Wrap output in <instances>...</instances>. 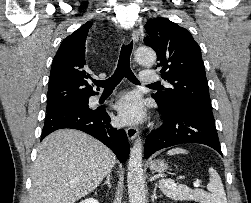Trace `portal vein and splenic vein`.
Here are the masks:
<instances>
[{"mask_svg": "<svg viewBox=\"0 0 251 203\" xmlns=\"http://www.w3.org/2000/svg\"><path fill=\"white\" fill-rule=\"evenodd\" d=\"M193 186L198 188V187H200V183L196 181V182L193 183Z\"/></svg>", "mask_w": 251, "mask_h": 203, "instance_id": "1", "label": "portal vein and splenic vein"}]
</instances>
